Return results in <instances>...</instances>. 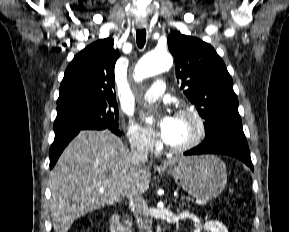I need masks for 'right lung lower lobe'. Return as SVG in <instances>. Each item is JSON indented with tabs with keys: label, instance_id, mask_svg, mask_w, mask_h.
<instances>
[{
	"label": "right lung lower lobe",
	"instance_id": "obj_1",
	"mask_svg": "<svg viewBox=\"0 0 289 232\" xmlns=\"http://www.w3.org/2000/svg\"><path fill=\"white\" fill-rule=\"evenodd\" d=\"M108 129V128H103ZM82 129L70 130L67 132H63L55 135V139L53 144L50 147L49 157H50V168H52L57 162L60 154L67 146V144L75 137ZM114 132L116 135L120 136L121 132L116 128L109 129Z\"/></svg>",
	"mask_w": 289,
	"mask_h": 232
}]
</instances>
